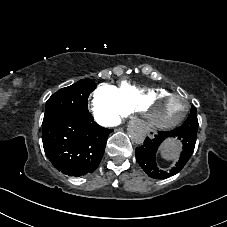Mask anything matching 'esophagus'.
<instances>
[{"label": "esophagus", "instance_id": "esophagus-1", "mask_svg": "<svg viewBox=\"0 0 227 227\" xmlns=\"http://www.w3.org/2000/svg\"><path fill=\"white\" fill-rule=\"evenodd\" d=\"M147 136H148L149 138H154V137L156 136V131H155L154 129H149V130L147 131Z\"/></svg>", "mask_w": 227, "mask_h": 227}]
</instances>
